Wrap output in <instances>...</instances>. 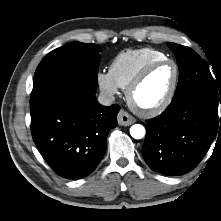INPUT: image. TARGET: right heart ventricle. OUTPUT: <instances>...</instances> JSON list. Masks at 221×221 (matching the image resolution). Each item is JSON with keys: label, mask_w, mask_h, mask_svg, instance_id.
<instances>
[{"label": "right heart ventricle", "mask_w": 221, "mask_h": 221, "mask_svg": "<svg viewBox=\"0 0 221 221\" xmlns=\"http://www.w3.org/2000/svg\"><path fill=\"white\" fill-rule=\"evenodd\" d=\"M165 58L167 57L163 52L153 48L127 49L115 56L109 72L117 85L126 89L145 65Z\"/></svg>", "instance_id": "obj_1"}]
</instances>
